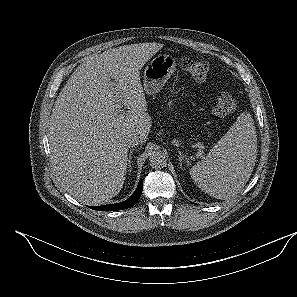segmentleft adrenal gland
I'll use <instances>...</instances> for the list:
<instances>
[{
  "label": "left adrenal gland",
  "instance_id": "obj_1",
  "mask_svg": "<svg viewBox=\"0 0 297 297\" xmlns=\"http://www.w3.org/2000/svg\"><path fill=\"white\" fill-rule=\"evenodd\" d=\"M179 156H178V160H179V165L180 168H182V163L183 161H185V159L187 158L186 155H183L182 152L180 150H178Z\"/></svg>",
  "mask_w": 297,
  "mask_h": 297
}]
</instances>
